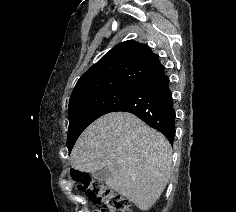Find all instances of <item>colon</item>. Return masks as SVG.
I'll list each match as a JSON object with an SVG mask.
<instances>
[{"mask_svg": "<svg viewBox=\"0 0 236 212\" xmlns=\"http://www.w3.org/2000/svg\"><path fill=\"white\" fill-rule=\"evenodd\" d=\"M72 178L78 189L97 204H102L104 209L98 212H132L127 199L112 191L104 183L94 179L83 172H72Z\"/></svg>", "mask_w": 236, "mask_h": 212, "instance_id": "1", "label": "colon"}]
</instances>
